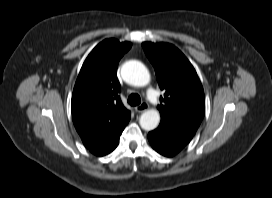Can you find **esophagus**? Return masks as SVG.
<instances>
[{"mask_svg":"<svg viewBox=\"0 0 272 198\" xmlns=\"http://www.w3.org/2000/svg\"><path fill=\"white\" fill-rule=\"evenodd\" d=\"M149 108V105L147 102H143L140 105H138L137 107H135V111L138 113L144 112L145 110H147Z\"/></svg>","mask_w":272,"mask_h":198,"instance_id":"34e87169","label":"esophagus"}]
</instances>
